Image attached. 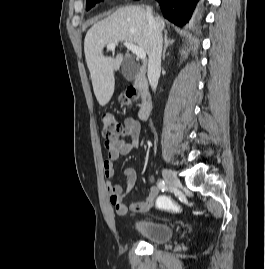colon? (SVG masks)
Returning <instances> with one entry per match:
<instances>
[{
	"label": "colon",
	"mask_w": 265,
	"mask_h": 269,
	"mask_svg": "<svg viewBox=\"0 0 265 269\" xmlns=\"http://www.w3.org/2000/svg\"><path fill=\"white\" fill-rule=\"evenodd\" d=\"M137 98V90L130 87L120 98V103L125 106L131 105ZM102 136L105 140H112L122 133V125L111 113H104L101 118ZM157 207L162 210L176 212L179 210L178 204L167 196H160L157 200Z\"/></svg>",
	"instance_id": "5ec220e1"
}]
</instances>
